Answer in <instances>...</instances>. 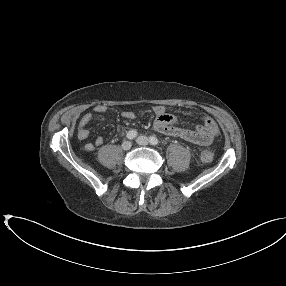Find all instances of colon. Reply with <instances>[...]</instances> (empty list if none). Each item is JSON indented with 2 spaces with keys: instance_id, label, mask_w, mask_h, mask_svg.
<instances>
[{
  "instance_id": "1",
  "label": "colon",
  "mask_w": 286,
  "mask_h": 286,
  "mask_svg": "<svg viewBox=\"0 0 286 286\" xmlns=\"http://www.w3.org/2000/svg\"><path fill=\"white\" fill-rule=\"evenodd\" d=\"M201 160L204 162V163H209L213 160V153L209 150H204L202 151L201 153Z\"/></svg>"
}]
</instances>
